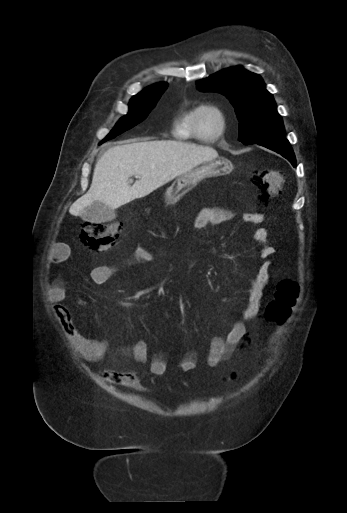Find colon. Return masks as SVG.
Here are the masks:
<instances>
[{
	"instance_id": "colon-1",
	"label": "colon",
	"mask_w": 347,
	"mask_h": 513,
	"mask_svg": "<svg viewBox=\"0 0 347 513\" xmlns=\"http://www.w3.org/2000/svg\"><path fill=\"white\" fill-rule=\"evenodd\" d=\"M251 184L257 189L259 199L267 202L282 186V174L278 170H255L250 174ZM122 235V224L85 222L80 227V239L94 250L106 251L114 247ZM300 296V285L292 279H283L274 291V297L266 308L269 321L282 324L291 315Z\"/></svg>"
}]
</instances>
